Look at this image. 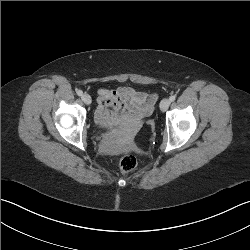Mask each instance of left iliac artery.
<instances>
[{"label": "left iliac artery", "mask_w": 250, "mask_h": 250, "mask_svg": "<svg viewBox=\"0 0 250 250\" xmlns=\"http://www.w3.org/2000/svg\"><path fill=\"white\" fill-rule=\"evenodd\" d=\"M169 99H170L171 102H173V101L176 99V96H175V95H172V96H170Z\"/></svg>", "instance_id": "left-iliac-artery-1"}]
</instances>
